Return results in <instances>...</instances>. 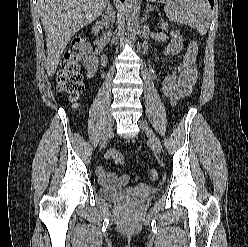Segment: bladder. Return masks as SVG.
<instances>
[{
    "label": "bladder",
    "mask_w": 248,
    "mask_h": 247,
    "mask_svg": "<svg viewBox=\"0 0 248 247\" xmlns=\"http://www.w3.org/2000/svg\"><path fill=\"white\" fill-rule=\"evenodd\" d=\"M144 187L145 186L142 183H138L134 186L126 188L100 186L99 192L104 198L115 202H125L132 200L136 202H142L146 199L147 196H150L155 192L153 188ZM142 188L144 189V194L131 196L134 193H138Z\"/></svg>",
    "instance_id": "1"
}]
</instances>
